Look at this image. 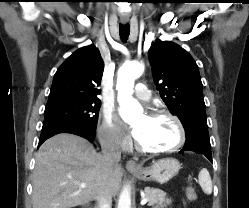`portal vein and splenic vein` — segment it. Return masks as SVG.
<instances>
[{
	"instance_id": "1",
	"label": "portal vein and splenic vein",
	"mask_w": 249,
	"mask_h": 208,
	"mask_svg": "<svg viewBox=\"0 0 249 208\" xmlns=\"http://www.w3.org/2000/svg\"><path fill=\"white\" fill-rule=\"evenodd\" d=\"M80 188H85L86 184L85 183H79ZM148 202V199L145 197L141 200V205H144Z\"/></svg>"
}]
</instances>
